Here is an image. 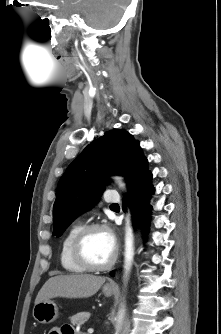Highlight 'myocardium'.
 Instances as JSON below:
<instances>
[{"mask_svg":"<svg viewBox=\"0 0 221 334\" xmlns=\"http://www.w3.org/2000/svg\"><path fill=\"white\" fill-rule=\"evenodd\" d=\"M95 230H104L112 235L108 225L102 223H91L81 227L72 243V256L74 260L83 268L90 271H104L110 269L116 262L119 254L118 245L115 242V251L112 258L105 264H95L91 262L84 252V243L88 235ZM113 236V235H112Z\"/></svg>","mask_w":221,"mask_h":334,"instance_id":"myocardium-1","label":"myocardium"}]
</instances>
